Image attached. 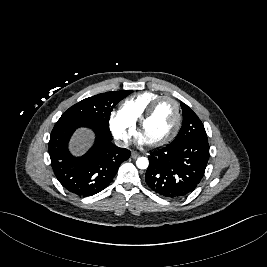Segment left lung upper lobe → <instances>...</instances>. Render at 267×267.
<instances>
[{"label":"left lung upper lobe","instance_id":"5c2ea615","mask_svg":"<svg viewBox=\"0 0 267 267\" xmlns=\"http://www.w3.org/2000/svg\"><path fill=\"white\" fill-rule=\"evenodd\" d=\"M183 123L182 127L172 143L189 139L208 141L204 126L198 116L184 103H181Z\"/></svg>","mask_w":267,"mask_h":267}]
</instances>
